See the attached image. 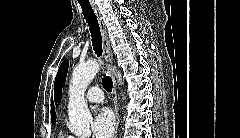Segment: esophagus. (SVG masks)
<instances>
[{
    "instance_id": "esophagus-1",
    "label": "esophagus",
    "mask_w": 240,
    "mask_h": 138,
    "mask_svg": "<svg viewBox=\"0 0 240 138\" xmlns=\"http://www.w3.org/2000/svg\"><path fill=\"white\" fill-rule=\"evenodd\" d=\"M92 9L96 15V18H97L98 24H99V28L101 31L102 46H103V53H104L105 60L108 62L109 66H112L113 54H112L111 45H110V41L108 38V33H107L105 23L103 21L102 15H101L98 7L95 4H92ZM111 79H112V83H113L111 96H112V100L114 103L113 110H114V115H115V130H114L113 138H116L117 133H118V124H119L117 84H116V80H115V77L113 74H111Z\"/></svg>"
}]
</instances>
